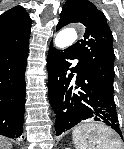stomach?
Listing matches in <instances>:
<instances>
[{
    "instance_id": "0dacf381",
    "label": "stomach",
    "mask_w": 124,
    "mask_h": 149,
    "mask_svg": "<svg viewBox=\"0 0 124 149\" xmlns=\"http://www.w3.org/2000/svg\"><path fill=\"white\" fill-rule=\"evenodd\" d=\"M88 126H90L94 132H96L100 127L105 128L103 125H88ZM109 131L111 135L115 137V133L111 129H109Z\"/></svg>"
}]
</instances>
